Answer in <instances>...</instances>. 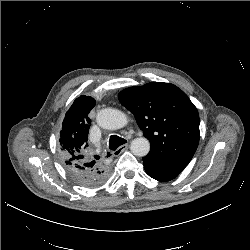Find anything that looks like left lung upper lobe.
Returning <instances> with one entry per match:
<instances>
[{
	"label": "left lung upper lobe",
	"instance_id": "5c2ea615",
	"mask_svg": "<svg viewBox=\"0 0 250 250\" xmlns=\"http://www.w3.org/2000/svg\"><path fill=\"white\" fill-rule=\"evenodd\" d=\"M150 141L149 156L164 163L187 165L199 143V114L188 96L170 83L151 82L119 94Z\"/></svg>",
	"mask_w": 250,
	"mask_h": 250
}]
</instances>
